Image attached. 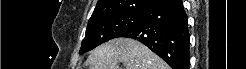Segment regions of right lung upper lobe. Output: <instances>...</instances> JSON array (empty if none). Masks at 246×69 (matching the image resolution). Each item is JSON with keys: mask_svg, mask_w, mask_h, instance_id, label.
I'll list each match as a JSON object with an SVG mask.
<instances>
[{"mask_svg": "<svg viewBox=\"0 0 246 69\" xmlns=\"http://www.w3.org/2000/svg\"><path fill=\"white\" fill-rule=\"evenodd\" d=\"M168 0H98L89 21L118 14H142Z\"/></svg>", "mask_w": 246, "mask_h": 69, "instance_id": "obj_1", "label": "right lung upper lobe"}]
</instances>
